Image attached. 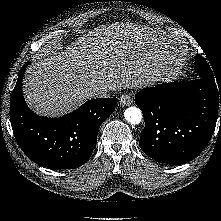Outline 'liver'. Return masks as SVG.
Here are the masks:
<instances>
[{"label": "liver", "instance_id": "1", "mask_svg": "<svg viewBox=\"0 0 221 221\" xmlns=\"http://www.w3.org/2000/svg\"><path fill=\"white\" fill-rule=\"evenodd\" d=\"M175 59L159 51L154 31L137 25H102L61 51L45 53L25 74L23 93L39 114L63 116L96 88L116 91L158 81Z\"/></svg>", "mask_w": 221, "mask_h": 221}]
</instances>
